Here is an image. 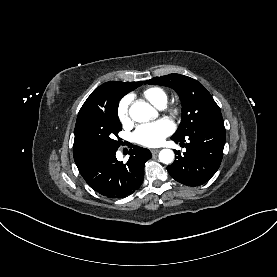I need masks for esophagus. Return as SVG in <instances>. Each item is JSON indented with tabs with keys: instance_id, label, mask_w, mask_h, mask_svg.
Returning a JSON list of instances; mask_svg holds the SVG:
<instances>
[{
	"instance_id": "obj_1",
	"label": "esophagus",
	"mask_w": 277,
	"mask_h": 277,
	"mask_svg": "<svg viewBox=\"0 0 277 277\" xmlns=\"http://www.w3.org/2000/svg\"><path fill=\"white\" fill-rule=\"evenodd\" d=\"M159 151H160L159 149H151L152 154H157V153H159Z\"/></svg>"
}]
</instances>
